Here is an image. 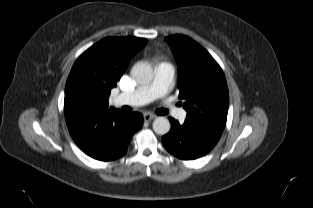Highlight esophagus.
I'll list each match as a JSON object with an SVG mask.
<instances>
[{"label":"esophagus","mask_w":313,"mask_h":208,"mask_svg":"<svg viewBox=\"0 0 313 208\" xmlns=\"http://www.w3.org/2000/svg\"><path fill=\"white\" fill-rule=\"evenodd\" d=\"M143 117H144V120H145V121H151V120L157 118L156 115L151 114V113H145V114L143 115Z\"/></svg>","instance_id":"esophagus-1"}]
</instances>
